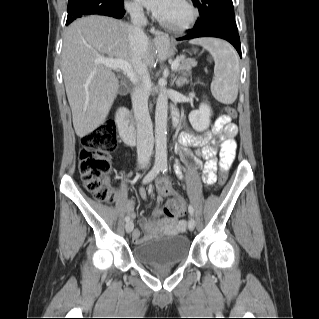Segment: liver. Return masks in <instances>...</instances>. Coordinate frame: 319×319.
Segmentation results:
<instances>
[{"label":"liver","mask_w":319,"mask_h":319,"mask_svg":"<svg viewBox=\"0 0 319 319\" xmlns=\"http://www.w3.org/2000/svg\"><path fill=\"white\" fill-rule=\"evenodd\" d=\"M128 29L122 21L92 15L74 21L65 31L62 73L73 126L81 138L105 121L119 88L111 69L95 60L107 55L132 63ZM147 44L148 55L153 52L148 38ZM159 57L164 58L160 51Z\"/></svg>","instance_id":"obj_1"}]
</instances>
